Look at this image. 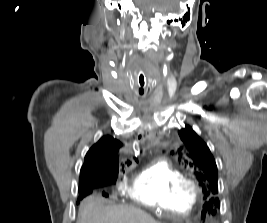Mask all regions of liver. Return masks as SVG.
Returning <instances> with one entry per match:
<instances>
[{"label":"liver","instance_id":"obj_1","mask_svg":"<svg viewBox=\"0 0 267 223\" xmlns=\"http://www.w3.org/2000/svg\"><path fill=\"white\" fill-rule=\"evenodd\" d=\"M77 223H159L145 211L128 205H104L97 197L80 205Z\"/></svg>","mask_w":267,"mask_h":223}]
</instances>
